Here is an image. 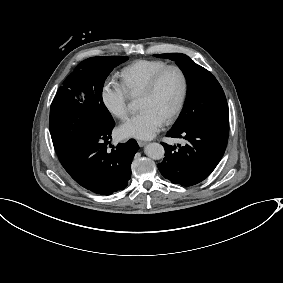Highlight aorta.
I'll return each instance as SVG.
<instances>
[{
    "label": "aorta",
    "instance_id": "aorta-1",
    "mask_svg": "<svg viewBox=\"0 0 283 283\" xmlns=\"http://www.w3.org/2000/svg\"><path fill=\"white\" fill-rule=\"evenodd\" d=\"M145 154L154 160H160L164 157V147L159 144V143H149L145 148H144Z\"/></svg>",
    "mask_w": 283,
    "mask_h": 283
}]
</instances>
